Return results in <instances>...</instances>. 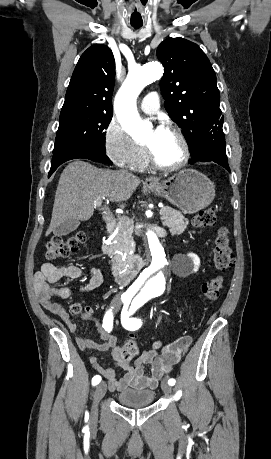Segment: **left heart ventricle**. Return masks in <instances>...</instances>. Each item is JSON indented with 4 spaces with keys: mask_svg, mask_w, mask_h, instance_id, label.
I'll return each mask as SVG.
<instances>
[{
    "mask_svg": "<svg viewBox=\"0 0 271 459\" xmlns=\"http://www.w3.org/2000/svg\"><path fill=\"white\" fill-rule=\"evenodd\" d=\"M152 151L164 161H173L180 155V144L175 136L162 130L158 132L156 129H151L144 142Z\"/></svg>",
    "mask_w": 271,
    "mask_h": 459,
    "instance_id": "left-heart-ventricle-1",
    "label": "left heart ventricle"
}]
</instances>
